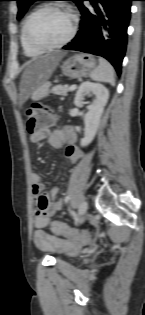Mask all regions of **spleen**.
<instances>
[{
  "label": "spleen",
  "mask_w": 145,
  "mask_h": 315,
  "mask_svg": "<svg viewBox=\"0 0 145 315\" xmlns=\"http://www.w3.org/2000/svg\"><path fill=\"white\" fill-rule=\"evenodd\" d=\"M94 81L109 83L115 85V73L112 65L104 58H99V65L90 74Z\"/></svg>",
  "instance_id": "1"
}]
</instances>
